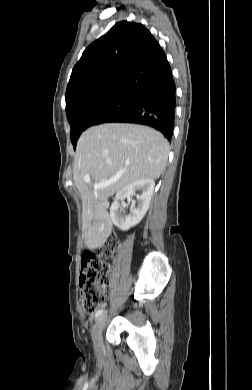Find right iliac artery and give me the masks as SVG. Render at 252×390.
Here are the masks:
<instances>
[{
    "mask_svg": "<svg viewBox=\"0 0 252 390\" xmlns=\"http://www.w3.org/2000/svg\"><path fill=\"white\" fill-rule=\"evenodd\" d=\"M104 313L106 314V312L103 309L98 310V312L96 313L95 317L97 318V317H99L100 315H102Z\"/></svg>",
    "mask_w": 252,
    "mask_h": 390,
    "instance_id": "right-iliac-artery-1",
    "label": "right iliac artery"
}]
</instances>
